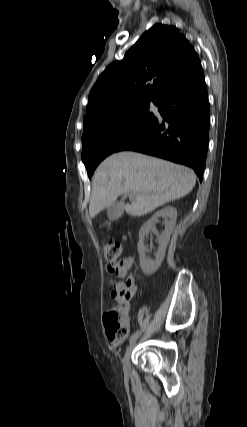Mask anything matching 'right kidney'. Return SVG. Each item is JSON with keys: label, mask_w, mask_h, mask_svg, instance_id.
Returning <instances> with one entry per match:
<instances>
[{"label": "right kidney", "mask_w": 247, "mask_h": 427, "mask_svg": "<svg viewBox=\"0 0 247 427\" xmlns=\"http://www.w3.org/2000/svg\"><path fill=\"white\" fill-rule=\"evenodd\" d=\"M159 218H164L165 230L162 234H158L155 223L158 222ZM177 219V210L172 206L164 207L163 209L156 212L150 220H148L139 231V242H138V253L140 257V267L145 275H152L160 267L164 257L167 245L170 241V236L175 228ZM150 232L157 235L159 241L158 251L155 255V260L146 258V247L144 244L145 236Z\"/></svg>", "instance_id": "ca27d5eb"}]
</instances>
